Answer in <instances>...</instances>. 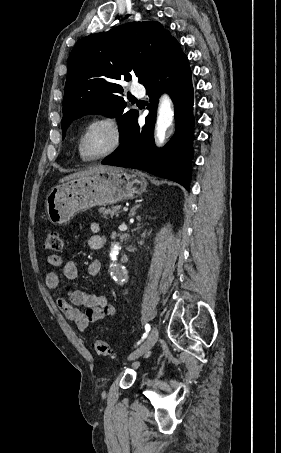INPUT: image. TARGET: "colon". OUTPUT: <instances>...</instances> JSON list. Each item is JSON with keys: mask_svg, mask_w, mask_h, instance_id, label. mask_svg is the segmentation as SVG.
I'll return each mask as SVG.
<instances>
[{"mask_svg": "<svg viewBox=\"0 0 281 453\" xmlns=\"http://www.w3.org/2000/svg\"><path fill=\"white\" fill-rule=\"evenodd\" d=\"M60 235L61 233L59 230H49L45 240L43 241V250L45 252H59L61 249ZM93 348L100 357H111V349L107 342L97 340L94 342Z\"/></svg>", "mask_w": 281, "mask_h": 453, "instance_id": "obj_1", "label": "colon"}]
</instances>
